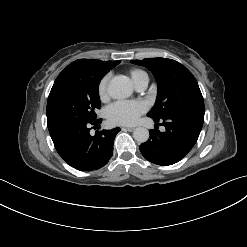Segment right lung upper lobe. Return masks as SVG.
Returning <instances> with one entry per match:
<instances>
[{
  "label": "right lung upper lobe",
  "mask_w": 247,
  "mask_h": 247,
  "mask_svg": "<svg viewBox=\"0 0 247 247\" xmlns=\"http://www.w3.org/2000/svg\"><path fill=\"white\" fill-rule=\"evenodd\" d=\"M120 61H100L91 59H79L69 64L60 74L63 75H83L98 73L104 70H111Z\"/></svg>",
  "instance_id": "cb5924a9"
}]
</instances>
